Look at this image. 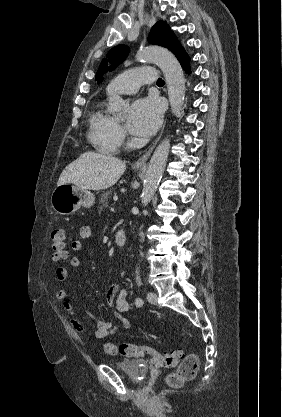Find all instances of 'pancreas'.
Wrapping results in <instances>:
<instances>
[{"instance_id":"obj_1","label":"pancreas","mask_w":282,"mask_h":417,"mask_svg":"<svg viewBox=\"0 0 282 417\" xmlns=\"http://www.w3.org/2000/svg\"><path fill=\"white\" fill-rule=\"evenodd\" d=\"M113 190H106L105 194H102L100 198V206H108L107 200L109 198V194H112Z\"/></svg>"}]
</instances>
